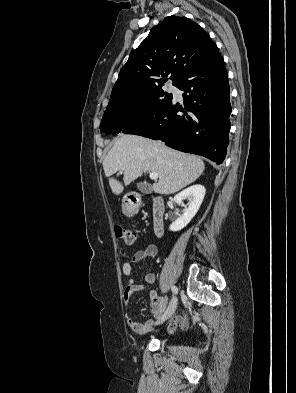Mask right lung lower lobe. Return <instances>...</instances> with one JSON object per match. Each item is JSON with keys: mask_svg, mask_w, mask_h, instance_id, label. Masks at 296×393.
Masks as SVG:
<instances>
[{"mask_svg": "<svg viewBox=\"0 0 296 393\" xmlns=\"http://www.w3.org/2000/svg\"><path fill=\"white\" fill-rule=\"evenodd\" d=\"M174 86L184 91V107L171 99L154 115L122 132L161 140L174 149L222 163L231 105L227 70L217 46H211Z\"/></svg>", "mask_w": 296, "mask_h": 393, "instance_id": "1", "label": "right lung lower lobe"}]
</instances>
